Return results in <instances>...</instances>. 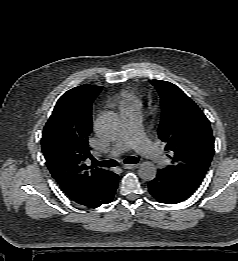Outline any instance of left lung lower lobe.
<instances>
[{
  "instance_id": "1",
  "label": "left lung lower lobe",
  "mask_w": 238,
  "mask_h": 261,
  "mask_svg": "<svg viewBox=\"0 0 238 261\" xmlns=\"http://www.w3.org/2000/svg\"><path fill=\"white\" fill-rule=\"evenodd\" d=\"M150 194L159 202L176 204L189 198L195 187L177 179L166 169H158L156 177L148 183Z\"/></svg>"
}]
</instances>
